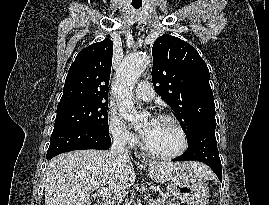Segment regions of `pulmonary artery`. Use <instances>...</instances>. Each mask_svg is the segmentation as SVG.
Instances as JSON below:
<instances>
[{
	"label": "pulmonary artery",
	"instance_id": "1",
	"mask_svg": "<svg viewBox=\"0 0 269 205\" xmlns=\"http://www.w3.org/2000/svg\"><path fill=\"white\" fill-rule=\"evenodd\" d=\"M135 95L142 101H151L155 96V92L149 82L142 81L136 87Z\"/></svg>",
	"mask_w": 269,
	"mask_h": 205
}]
</instances>
